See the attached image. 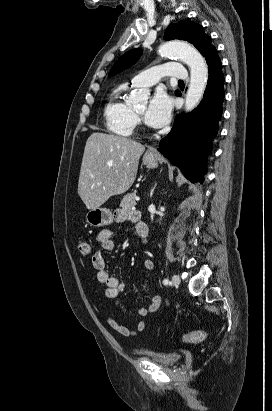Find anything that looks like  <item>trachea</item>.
Wrapping results in <instances>:
<instances>
[{"instance_id":"3493384b","label":"trachea","mask_w":272,"mask_h":411,"mask_svg":"<svg viewBox=\"0 0 272 411\" xmlns=\"http://www.w3.org/2000/svg\"><path fill=\"white\" fill-rule=\"evenodd\" d=\"M178 83H180V84H184V81H182V80H179V81H178Z\"/></svg>"}]
</instances>
